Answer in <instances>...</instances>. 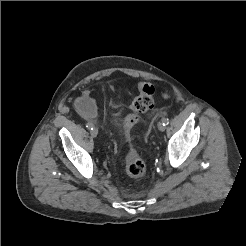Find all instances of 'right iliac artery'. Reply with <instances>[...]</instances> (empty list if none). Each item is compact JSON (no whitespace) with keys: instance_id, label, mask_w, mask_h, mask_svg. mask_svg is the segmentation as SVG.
<instances>
[{"instance_id":"obj_1","label":"right iliac artery","mask_w":246,"mask_h":246,"mask_svg":"<svg viewBox=\"0 0 246 246\" xmlns=\"http://www.w3.org/2000/svg\"><path fill=\"white\" fill-rule=\"evenodd\" d=\"M86 127H87L88 129H90V130H93L94 125H93L92 123H87V124H86Z\"/></svg>"}]
</instances>
